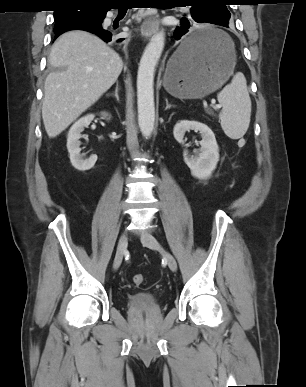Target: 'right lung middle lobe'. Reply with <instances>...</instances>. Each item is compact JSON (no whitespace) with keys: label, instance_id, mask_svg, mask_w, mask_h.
<instances>
[{"label":"right lung middle lobe","instance_id":"1","mask_svg":"<svg viewBox=\"0 0 306 387\" xmlns=\"http://www.w3.org/2000/svg\"><path fill=\"white\" fill-rule=\"evenodd\" d=\"M103 14L104 11L98 7H86L80 11L60 8L54 11V32L62 31L72 25L92 24L94 21H101L104 19Z\"/></svg>","mask_w":306,"mask_h":387}]
</instances>
